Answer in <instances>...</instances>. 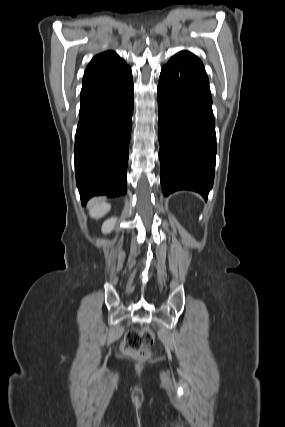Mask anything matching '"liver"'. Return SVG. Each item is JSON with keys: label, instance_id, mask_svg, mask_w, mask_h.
<instances>
[{"label": "liver", "instance_id": "6515ba94", "mask_svg": "<svg viewBox=\"0 0 285 427\" xmlns=\"http://www.w3.org/2000/svg\"><path fill=\"white\" fill-rule=\"evenodd\" d=\"M110 208V204L104 201H93L89 207V214L91 217L98 219L103 217L110 210Z\"/></svg>", "mask_w": 285, "mask_h": 427}]
</instances>
